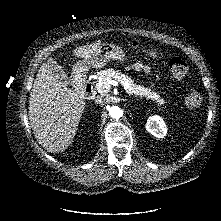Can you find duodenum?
Listing matches in <instances>:
<instances>
[{
	"label": "duodenum",
	"mask_w": 221,
	"mask_h": 221,
	"mask_svg": "<svg viewBox=\"0 0 221 221\" xmlns=\"http://www.w3.org/2000/svg\"><path fill=\"white\" fill-rule=\"evenodd\" d=\"M84 95L88 98V99H92L94 97V90L91 84H86L84 87Z\"/></svg>",
	"instance_id": "1"
}]
</instances>
